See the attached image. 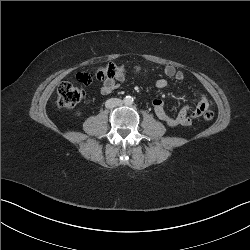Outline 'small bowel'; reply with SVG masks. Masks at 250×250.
<instances>
[{
  "instance_id": "c3829d8e",
  "label": "small bowel",
  "mask_w": 250,
  "mask_h": 250,
  "mask_svg": "<svg viewBox=\"0 0 250 250\" xmlns=\"http://www.w3.org/2000/svg\"><path fill=\"white\" fill-rule=\"evenodd\" d=\"M164 74L167 78H173L177 82H182L184 80L183 72L177 70L172 65H167L164 68ZM124 76H117L114 78L105 79L101 85V93L104 95L112 93L116 90L121 82H123ZM169 85V81L166 78H160L156 81V87L159 89H164ZM195 94L198 97V103L194 107L185 106L180 109L177 115H169L164 109V103L161 99L153 100V109L159 120L164 122L170 127L175 126H189L193 121L199 116L203 115L205 110H210L212 107L211 101L208 97L201 91L196 90Z\"/></svg>"
}]
</instances>
